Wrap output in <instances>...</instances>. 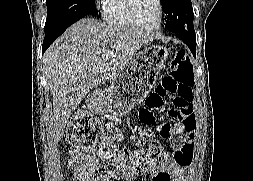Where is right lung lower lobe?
I'll use <instances>...</instances> for the list:
<instances>
[{
    "label": "right lung lower lobe",
    "mask_w": 253,
    "mask_h": 181,
    "mask_svg": "<svg viewBox=\"0 0 253 181\" xmlns=\"http://www.w3.org/2000/svg\"><path fill=\"white\" fill-rule=\"evenodd\" d=\"M78 20L72 21L57 30L45 33V38H44L43 45H42V54L46 51V49L52 44V42L58 36H60L70 25H72L73 23H75Z\"/></svg>",
    "instance_id": "obj_1"
}]
</instances>
